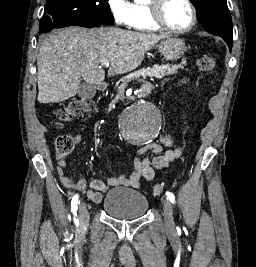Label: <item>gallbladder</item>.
I'll return each mask as SVG.
<instances>
[{"label":"gallbladder","mask_w":256,"mask_h":267,"mask_svg":"<svg viewBox=\"0 0 256 267\" xmlns=\"http://www.w3.org/2000/svg\"><path fill=\"white\" fill-rule=\"evenodd\" d=\"M77 94L82 100H92L96 94V86L84 82V84H80Z\"/></svg>","instance_id":"bac80fb5"}]
</instances>
